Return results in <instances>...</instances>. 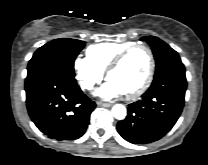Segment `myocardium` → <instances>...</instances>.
I'll return each mask as SVG.
<instances>
[{
	"instance_id": "myocardium-1",
	"label": "myocardium",
	"mask_w": 208,
	"mask_h": 165,
	"mask_svg": "<svg viewBox=\"0 0 208 165\" xmlns=\"http://www.w3.org/2000/svg\"><path fill=\"white\" fill-rule=\"evenodd\" d=\"M137 48H143L146 50V52L148 53L149 56V68H148V72L147 75L144 79V81L142 82V84L137 87L135 90L124 94V97L126 99H134L137 98L138 96H140L141 94H143L150 86L153 76H154V72H155V57H154V53L152 51V49L144 44V43H134L126 48H124L123 50H121L116 56L115 58L110 62V64L108 65V67L106 68L105 71V76L108 78L109 74L115 70L117 67H119L121 65V63L124 61V59L135 49Z\"/></svg>"
}]
</instances>
